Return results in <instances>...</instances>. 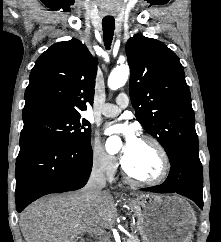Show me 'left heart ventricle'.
Wrapping results in <instances>:
<instances>
[{
	"instance_id": "b2bd125f",
	"label": "left heart ventricle",
	"mask_w": 221,
	"mask_h": 242,
	"mask_svg": "<svg viewBox=\"0 0 221 242\" xmlns=\"http://www.w3.org/2000/svg\"><path fill=\"white\" fill-rule=\"evenodd\" d=\"M123 160L129 172L138 178L152 179L160 172V158L149 142L139 140Z\"/></svg>"
}]
</instances>
